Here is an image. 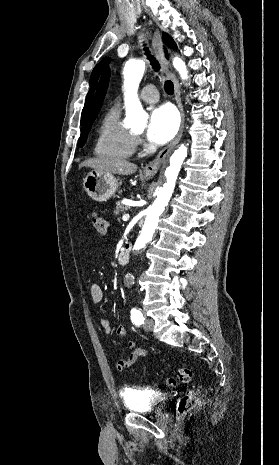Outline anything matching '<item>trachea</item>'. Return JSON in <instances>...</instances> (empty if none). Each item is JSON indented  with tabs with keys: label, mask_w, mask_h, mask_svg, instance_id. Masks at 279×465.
<instances>
[{
	"label": "trachea",
	"mask_w": 279,
	"mask_h": 465,
	"mask_svg": "<svg viewBox=\"0 0 279 465\" xmlns=\"http://www.w3.org/2000/svg\"><path fill=\"white\" fill-rule=\"evenodd\" d=\"M144 51H145V54L147 55V59L150 61V64L152 65V68L155 71H159L160 65L158 61L154 58V56L150 54V51L147 47H144ZM164 88L167 94L172 95L174 93V86H173L172 81L170 80L165 81Z\"/></svg>",
	"instance_id": "trachea-1"
}]
</instances>
